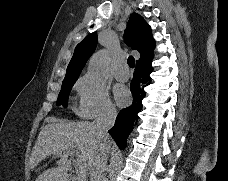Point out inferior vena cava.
I'll return each instance as SVG.
<instances>
[{
  "label": "inferior vena cava",
  "instance_id": "1",
  "mask_svg": "<svg viewBox=\"0 0 228 181\" xmlns=\"http://www.w3.org/2000/svg\"><path fill=\"white\" fill-rule=\"evenodd\" d=\"M116 117L117 113L115 109H113L111 105H105V107H102L99 115H97L94 121L95 133L98 139H101L102 143H105V145L96 153L90 165V181H106L105 169L107 167L110 151V147L106 141L109 137L108 131L109 129H112Z\"/></svg>",
  "mask_w": 228,
  "mask_h": 181
}]
</instances>
